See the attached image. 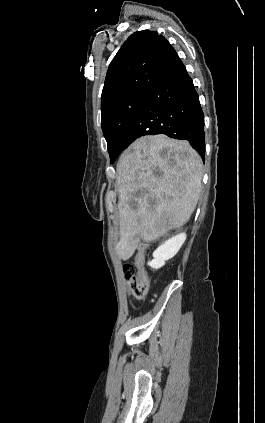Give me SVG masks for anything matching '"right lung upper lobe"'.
Returning <instances> with one entry per match:
<instances>
[{
  "label": "right lung upper lobe",
  "instance_id": "cb5924a9",
  "mask_svg": "<svg viewBox=\"0 0 265 423\" xmlns=\"http://www.w3.org/2000/svg\"><path fill=\"white\" fill-rule=\"evenodd\" d=\"M177 56L157 32L144 30L132 34L109 65L101 111L132 92L151 90Z\"/></svg>",
  "mask_w": 265,
  "mask_h": 423
}]
</instances>
